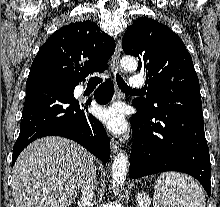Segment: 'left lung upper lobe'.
Wrapping results in <instances>:
<instances>
[{
    "label": "left lung upper lobe",
    "mask_w": 220,
    "mask_h": 207,
    "mask_svg": "<svg viewBox=\"0 0 220 207\" xmlns=\"http://www.w3.org/2000/svg\"><path fill=\"white\" fill-rule=\"evenodd\" d=\"M126 54L138 58V70L146 72L147 94L133 102L147 112L159 96L180 90L200 91L193 62L183 41L167 26L142 17L130 25L122 39Z\"/></svg>",
    "instance_id": "left-lung-upper-lobe-1"
}]
</instances>
